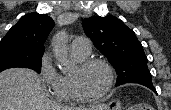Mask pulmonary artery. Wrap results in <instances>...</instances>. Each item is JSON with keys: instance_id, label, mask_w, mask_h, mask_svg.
<instances>
[{"instance_id": "1", "label": "pulmonary artery", "mask_w": 171, "mask_h": 110, "mask_svg": "<svg viewBox=\"0 0 171 110\" xmlns=\"http://www.w3.org/2000/svg\"><path fill=\"white\" fill-rule=\"evenodd\" d=\"M91 48L90 40L84 37H76L71 43V50L82 56H87L91 52Z\"/></svg>"}]
</instances>
